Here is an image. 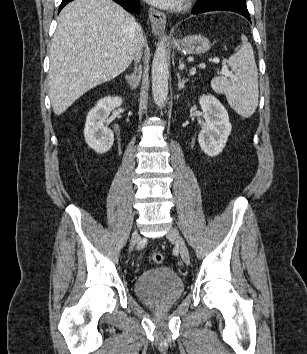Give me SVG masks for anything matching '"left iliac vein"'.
I'll list each match as a JSON object with an SVG mask.
<instances>
[{"instance_id": "1", "label": "left iliac vein", "mask_w": 307, "mask_h": 354, "mask_svg": "<svg viewBox=\"0 0 307 354\" xmlns=\"http://www.w3.org/2000/svg\"><path fill=\"white\" fill-rule=\"evenodd\" d=\"M166 237L170 241H172L175 244V246L178 248V250L180 252V256H181L183 262L186 265H189V263H190L189 250H188L183 238L179 234L178 230H176L175 228L171 227L169 229V231L167 232Z\"/></svg>"}]
</instances>
